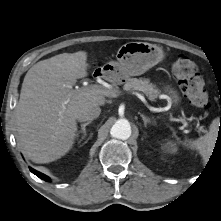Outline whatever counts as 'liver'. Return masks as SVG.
Wrapping results in <instances>:
<instances>
[{"label":"liver","mask_w":221,"mask_h":221,"mask_svg":"<svg viewBox=\"0 0 221 221\" xmlns=\"http://www.w3.org/2000/svg\"><path fill=\"white\" fill-rule=\"evenodd\" d=\"M87 67V52L78 51L39 61L26 73L15 117L18 142L33 162L49 163L69 152L80 111L105 104L104 95L72 89L88 75Z\"/></svg>","instance_id":"6515ba94"}]
</instances>
